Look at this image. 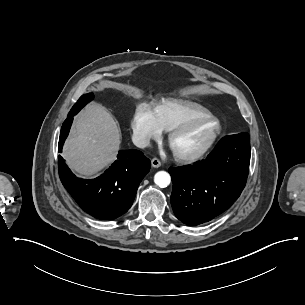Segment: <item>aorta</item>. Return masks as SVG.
<instances>
[{"label":"aorta","mask_w":305,"mask_h":305,"mask_svg":"<svg viewBox=\"0 0 305 305\" xmlns=\"http://www.w3.org/2000/svg\"><path fill=\"white\" fill-rule=\"evenodd\" d=\"M154 182L157 186H159L161 188H165V187L169 186V184L171 182V177H170L169 173H167L165 171H159L154 176Z\"/></svg>","instance_id":"obj_1"}]
</instances>
